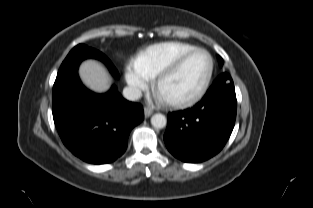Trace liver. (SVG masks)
<instances>
[{"mask_svg": "<svg viewBox=\"0 0 313 208\" xmlns=\"http://www.w3.org/2000/svg\"><path fill=\"white\" fill-rule=\"evenodd\" d=\"M79 75L83 83L95 92H105L110 86V79L106 70L95 60L82 62Z\"/></svg>", "mask_w": 313, "mask_h": 208, "instance_id": "1", "label": "liver"}]
</instances>
